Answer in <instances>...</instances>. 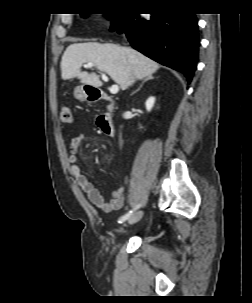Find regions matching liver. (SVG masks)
<instances>
[{
	"label": "liver",
	"mask_w": 252,
	"mask_h": 303,
	"mask_svg": "<svg viewBox=\"0 0 252 303\" xmlns=\"http://www.w3.org/2000/svg\"><path fill=\"white\" fill-rule=\"evenodd\" d=\"M84 63H93L97 69L107 73L122 90L127 89L132 78L142 79L159 69L158 63L130 47L109 43H74L67 47L62 56V79L76 77L81 83L100 87L102 82L96 74L81 71Z\"/></svg>",
	"instance_id": "liver-1"
}]
</instances>
